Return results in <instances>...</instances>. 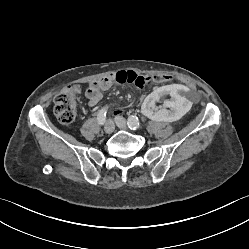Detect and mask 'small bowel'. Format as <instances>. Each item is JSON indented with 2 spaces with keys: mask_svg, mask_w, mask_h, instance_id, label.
I'll return each mask as SVG.
<instances>
[{
  "mask_svg": "<svg viewBox=\"0 0 249 249\" xmlns=\"http://www.w3.org/2000/svg\"><path fill=\"white\" fill-rule=\"evenodd\" d=\"M136 75L137 74L133 71H119V72H113L98 80L91 81L88 84L85 92L88 106L93 107L101 100L102 91L109 90L115 84L131 83V79ZM169 86L170 85H168V87Z\"/></svg>",
  "mask_w": 249,
  "mask_h": 249,
  "instance_id": "small-bowel-1",
  "label": "small bowel"
}]
</instances>
